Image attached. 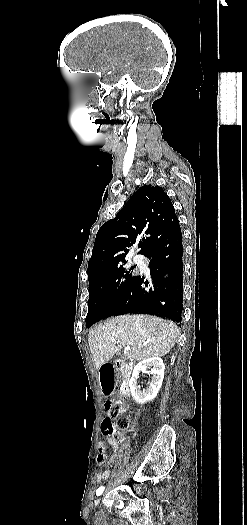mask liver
<instances>
[{
    "mask_svg": "<svg viewBox=\"0 0 247 525\" xmlns=\"http://www.w3.org/2000/svg\"><path fill=\"white\" fill-rule=\"evenodd\" d=\"M180 329L173 321H164L152 315H120L97 325L88 335L91 355L96 369L111 361L123 347L126 359L145 361L151 357H165L175 345Z\"/></svg>",
    "mask_w": 247,
    "mask_h": 525,
    "instance_id": "6515ba94",
    "label": "liver"
}]
</instances>
